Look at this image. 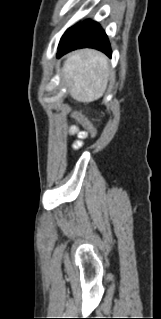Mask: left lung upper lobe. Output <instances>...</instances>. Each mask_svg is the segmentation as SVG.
Listing matches in <instances>:
<instances>
[{"instance_id": "left-lung-upper-lobe-1", "label": "left lung upper lobe", "mask_w": 161, "mask_h": 319, "mask_svg": "<svg viewBox=\"0 0 161 319\" xmlns=\"http://www.w3.org/2000/svg\"><path fill=\"white\" fill-rule=\"evenodd\" d=\"M75 26H76V25H75ZM75 26L69 28V29L64 33V35L62 36V38H63L64 36H66Z\"/></svg>"}]
</instances>
